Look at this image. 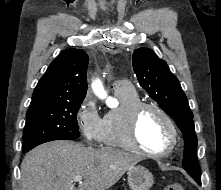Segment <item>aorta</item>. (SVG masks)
I'll use <instances>...</instances> for the list:
<instances>
[{"label": "aorta", "instance_id": "1", "mask_svg": "<svg viewBox=\"0 0 221 190\" xmlns=\"http://www.w3.org/2000/svg\"><path fill=\"white\" fill-rule=\"evenodd\" d=\"M92 89L94 91V93L101 99H105L107 97V94L103 88L102 83L97 80L95 82H93L92 84Z\"/></svg>", "mask_w": 221, "mask_h": 190}]
</instances>
